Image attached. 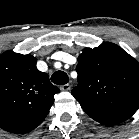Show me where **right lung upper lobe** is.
Returning <instances> with one entry per match:
<instances>
[{
    "instance_id": "1",
    "label": "right lung upper lobe",
    "mask_w": 139,
    "mask_h": 139,
    "mask_svg": "<svg viewBox=\"0 0 139 139\" xmlns=\"http://www.w3.org/2000/svg\"><path fill=\"white\" fill-rule=\"evenodd\" d=\"M59 89L36 68V58L6 51L0 55V127L25 134L42 123Z\"/></svg>"
}]
</instances>
